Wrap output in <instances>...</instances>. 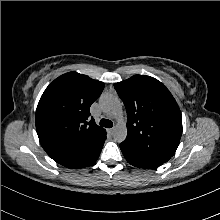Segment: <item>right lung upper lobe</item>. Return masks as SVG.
<instances>
[{
  "label": "right lung upper lobe",
  "instance_id": "1",
  "mask_svg": "<svg viewBox=\"0 0 220 220\" xmlns=\"http://www.w3.org/2000/svg\"><path fill=\"white\" fill-rule=\"evenodd\" d=\"M104 84L77 72L55 79L44 91L36 110V130L47 154L70 168L89 166L104 144L106 131L89 121L90 106Z\"/></svg>",
  "mask_w": 220,
  "mask_h": 220
}]
</instances>
